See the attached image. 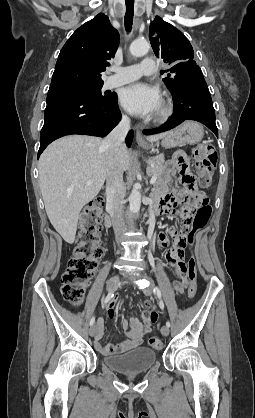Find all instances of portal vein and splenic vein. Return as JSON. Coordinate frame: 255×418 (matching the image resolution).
I'll return each mask as SVG.
<instances>
[{"mask_svg": "<svg viewBox=\"0 0 255 418\" xmlns=\"http://www.w3.org/2000/svg\"><path fill=\"white\" fill-rule=\"evenodd\" d=\"M156 179H157V176L156 175L152 176V178L150 180V183L153 185L156 182ZM86 184L87 185H91L92 184V181H88Z\"/></svg>", "mask_w": 255, "mask_h": 418, "instance_id": "portal-vein-and-splenic-vein-1", "label": "portal vein and splenic vein"}]
</instances>
